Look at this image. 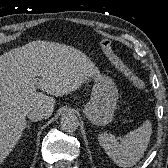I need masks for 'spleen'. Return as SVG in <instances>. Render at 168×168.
I'll list each match as a JSON object with an SVG mask.
<instances>
[{"mask_svg": "<svg viewBox=\"0 0 168 168\" xmlns=\"http://www.w3.org/2000/svg\"><path fill=\"white\" fill-rule=\"evenodd\" d=\"M150 121H145L140 127L127 133L117 141L114 135L103 133L98 137L100 146L106 154L120 167L135 165L144 155L152 133Z\"/></svg>", "mask_w": 168, "mask_h": 168, "instance_id": "3e777b00", "label": "spleen"}]
</instances>
